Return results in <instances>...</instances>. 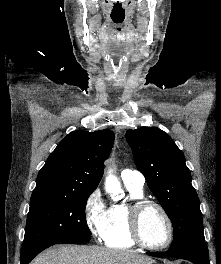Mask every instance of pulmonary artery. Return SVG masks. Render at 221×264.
<instances>
[{"label":"pulmonary artery","mask_w":221,"mask_h":264,"mask_svg":"<svg viewBox=\"0 0 221 264\" xmlns=\"http://www.w3.org/2000/svg\"><path fill=\"white\" fill-rule=\"evenodd\" d=\"M121 179L125 184H130L138 188H143L145 183L144 175L138 170L124 169L121 172Z\"/></svg>","instance_id":"e3ab8cb5"}]
</instances>
